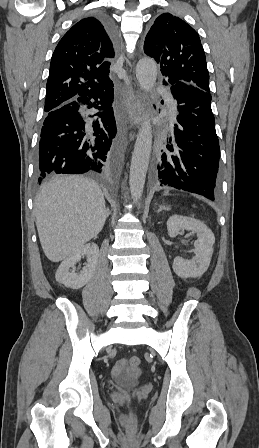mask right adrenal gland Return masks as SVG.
Here are the masks:
<instances>
[{
    "label": "right adrenal gland",
    "instance_id": "obj_1",
    "mask_svg": "<svg viewBox=\"0 0 259 448\" xmlns=\"http://www.w3.org/2000/svg\"><path fill=\"white\" fill-rule=\"evenodd\" d=\"M109 214H110V212H108V216H109ZM108 216H107V218H108Z\"/></svg>",
    "mask_w": 259,
    "mask_h": 448
}]
</instances>
